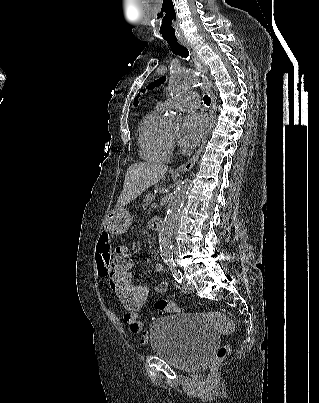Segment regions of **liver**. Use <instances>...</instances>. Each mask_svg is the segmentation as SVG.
<instances>
[{
    "label": "liver",
    "instance_id": "1",
    "mask_svg": "<svg viewBox=\"0 0 319 403\" xmlns=\"http://www.w3.org/2000/svg\"><path fill=\"white\" fill-rule=\"evenodd\" d=\"M166 171V165L152 162H138L129 166L116 207L121 208L136 199L146 189L158 183Z\"/></svg>",
    "mask_w": 319,
    "mask_h": 403
}]
</instances>
